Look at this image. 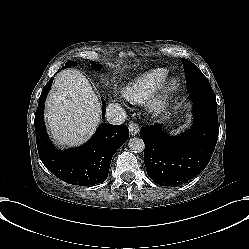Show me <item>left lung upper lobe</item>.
Segmentation results:
<instances>
[{
	"label": "left lung upper lobe",
	"instance_id": "1",
	"mask_svg": "<svg viewBox=\"0 0 249 249\" xmlns=\"http://www.w3.org/2000/svg\"><path fill=\"white\" fill-rule=\"evenodd\" d=\"M181 61L184 66V70L186 71L187 91H212L209 81L195 64L191 63L189 60L184 58H181Z\"/></svg>",
	"mask_w": 249,
	"mask_h": 249
}]
</instances>
